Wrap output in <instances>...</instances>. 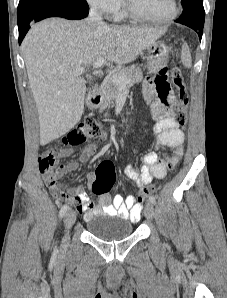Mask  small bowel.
I'll return each mask as SVG.
<instances>
[{"label": "small bowel", "mask_w": 227, "mask_h": 298, "mask_svg": "<svg viewBox=\"0 0 227 298\" xmlns=\"http://www.w3.org/2000/svg\"><path fill=\"white\" fill-rule=\"evenodd\" d=\"M168 77H170L169 69H160L156 78L154 80L148 79L143 88L145 100L150 106L147 114L152 115L155 122L151 128L152 133L155 135V148L171 147L175 150L172 156L166 160L161 159L156 152L144 154L141 158L142 166L139 171L131 165L125 167V176L140 188L149 185L153 179L164 178L167 171L174 168L184 154L185 134L173 116L176 97L174 91H170L171 82H169ZM72 150V146H52L51 150L41 154L38 158L40 171L52 193L55 194V186H51V183L56 181L58 189L76 198L73 203L80 212L84 213L86 220L102 214L105 216H118L133 222L138 221L142 205L135 203L133 197L124 198L121 195L111 197L105 193L99 195L98 203L94 204L89 201L85 189L81 185L68 192L66 191V186L57 181V178L75 171L78 168V163L70 162L62 166L57 159L69 156ZM95 151L96 146L94 144L86 146L81 152L80 161L82 163L88 162ZM94 177L95 174H88L90 182L94 180Z\"/></svg>", "instance_id": "obj_1"}]
</instances>
